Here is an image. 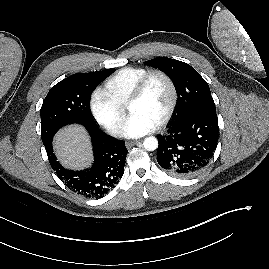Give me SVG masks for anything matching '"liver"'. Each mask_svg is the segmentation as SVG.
Returning <instances> with one entry per match:
<instances>
[{
    "label": "liver",
    "mask_w": 269,
    "mask_h": 269,
    "mask_svg": "<svg viewBox=\"0 0 269 269\" xmlns=\"http://www.w3.org/2000/svg\"><path fill=\"white\" fill-rule=\"evenodd\" d=\"M54 146L63 165L79 169L90 164L91 147L83 127L73 125L62 129L55 137Z\"/></svg>",
    "instance_id": "liver-1"
}]
</instances>
